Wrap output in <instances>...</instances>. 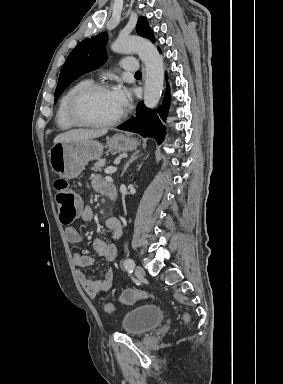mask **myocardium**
Masks as SVG:
<instances>
[{
    "label": "myocardium",
    "instance_id": "f54148a6",
    "mask_svg": "<svg viewBox=\"0 0 283 384\" xmlns=\"http://www.w3.org/2000/svg\"><path fill=\"white\" fill-rule=\"evenodd\" d=\"M110 86L106 83H90L80 88L70 99L67 107V116L71 124L77 128L84 129H108L115 126L123 117V112L114 119L103 123H91L81 120L77 109L83 98L99 90H108Z\"/></svg>",
    "mask_w": 283,
    "mask_h": 384
}]
</instances>
